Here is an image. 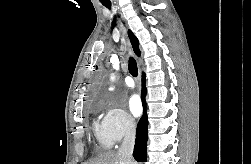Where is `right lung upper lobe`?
Here are the masks:
<instances>
[{
	"instance_id": "obj_1",
	"label": "right lung upper lobe",
	"mask_w": 251,
	"mask_h": 164,
	"mask_svg": "<svg viewBox=\"0 0 251 164\" xmlns=\"http://www.w3.org/2000/svg\"><path fill=\"white\" fill-rule=\"evenodd\" d=\"M128 36L131 41L133 50L137 56H140V50H139V42L136 36L129 30L128 31Z\"/></svg>"
}]
</instances>
